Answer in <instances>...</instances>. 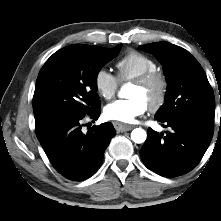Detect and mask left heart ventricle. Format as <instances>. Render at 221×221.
<instances>
[{
  "label": "left heart ventricle",
  "instance_id": "b2bd125f",
  "mask_svg": "<svg viewBox=\"0 0 221 221\" xmlns=\"http://www.w3.org/2000/svg\"><path fill=\"white\" fill-rule=\"evenodd\" d=\"M156 91V86L151 85L149 87H139L135 84H132L129 92V98H139L141 99L146 105L153 99Z\"/></svg>",
  "mask_w": 221,
  "mask_h": 221
}]
</instances>
